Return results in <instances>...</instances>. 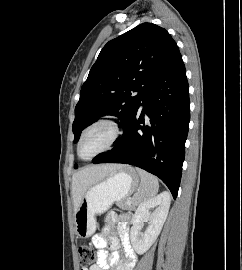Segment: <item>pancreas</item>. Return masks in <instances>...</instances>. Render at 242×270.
<instances>
[{"label":"pancreas","mask_w":242,"mask_h":270,"mask_svg":"<svg viewBox=\"0 0 242 270\" xmlns=\"http://www.w3.org/2000/svg\"><path fill=\"white\" fill-rule=\"evenodd\" d=\"M120 207L125 210H134L135 209V203L131 202L130 200H127L126 202L120 204Z\"/></svg>","instance_id":"cf45deb5"}]
</instances>
